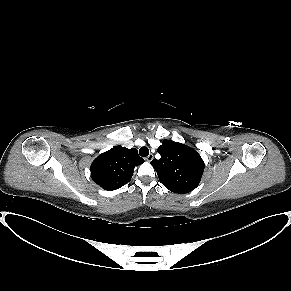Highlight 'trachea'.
<instances>
[{
  "mask_svg": "<svg viewBox=\"0 0 291 291\" xmlns=\"http://www.w3.org/2000/svg\"><path fill=\"white\" fill-rule=\"evenodd\" d=\"M139 154L142 156V157H146L149 155V149L145 146L141 147L139 149Z\"/></svg>",
  "mask_w": 291,
  "mask_h": 291,
  "instance_id": "3493384b",
  "label": "trachea"
}]
</instances>
